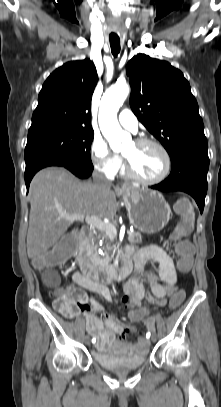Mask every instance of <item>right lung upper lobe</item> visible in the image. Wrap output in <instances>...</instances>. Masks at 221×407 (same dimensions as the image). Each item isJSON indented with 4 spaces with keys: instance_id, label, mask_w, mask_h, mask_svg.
<instances>
[{
    "instance_id": "cb5924a9",
    "label": "right lung upper lobe",
    "mask_w": 221,
    "mask_h": 407,
    "mask_svg": "<svg viewBox=\"0 0 221 407\" xmlns=\"http://www.w3.org/2000/svg\"><path fill=\"white\" fill-rule=\"evenodd\" d=\"M97 81L95 65L89 59L56 69L42 86L30 129L68 126L92 130L91 99Z\"/></svg>"
}]
</instances>
